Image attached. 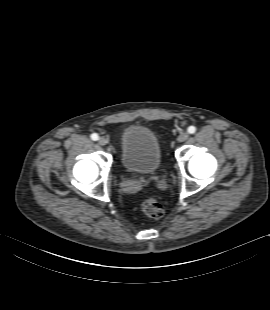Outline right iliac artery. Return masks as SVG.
<instances>
[{
  "label": "right iliac artery",
  "mask_w": 270,
  "mask_h": 310,
  "mask_svg": "<svg viewBox=\"0 0 270 310\" xmlns=\"http://www.w3.org/2000/svg\"><path fill=\"white\" fill-rule=\"evenodd\" d=\"M98 138H99V136H98V134H96V133H93V134L91 135V139L94 140V141L98 140Z\"/></svg>",
  "instance_id": "82829eb1"
}]
</instances>
